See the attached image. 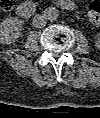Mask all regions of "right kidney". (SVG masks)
Returning <instances> with one entry per match:
<instances>
[{"instance_id":"1","label":"right kidney","mask_w":100,"mask_h":118,"mask_svg":"<svg viewBox=\"0 0 100 118\" xmlns=\"http://www.w3.org/2000/svg\"><path fill=\"white\" fill-rule=\"evenodd\" d=\"M22 21L17 17L4 19L0 23V42L2 44H13L21 35Z\"/></svg>"}]
</instances>
